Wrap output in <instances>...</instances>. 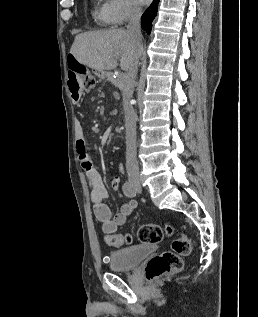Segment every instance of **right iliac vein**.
<instances>
[{
  "mask_svg": "<svg viewBox=\"0 0 258 317\" xmlns=\"http://www.w3.org/2000/svg\"><path fill=\"white\" fill-rule=\"evenodd\" d=\"M131 185L132 186H140L141 185V180L140 179H132L131 180Z\"/></svg>",
  "mask_w": 258,
  "mask_h": 317,
  "instance_id": "63e3f726",
  "label": "right iliac vein"
}]
</instances>
